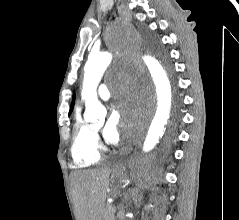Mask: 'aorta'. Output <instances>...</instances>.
<instances>
[{
	"instance_id": "aorta-1",
	"label": "aorta",
	"mask_w": 239,
	"mask_h": 220,
	"mask_svg": "<svg viewBox=\"0 0 239 220\" xmlns=\"http://www.w3.org/2000/svg\"><path fill=\"white\" fill-rule=\"evenodd\" d=\"M116 40H132L130 33H116ZM133 45H112L111 48ZM109 51L91 55L85 65L84 81L81 96L85 100V119L91 123H97L106 116V109L98 100L97 86L109 66L112 55ZM143 65L149 72L151 80L156 88L157 108L151 121L144 144L143 151L150 152L163 135L164 127L170 117L171 86L167 72L162 62L153 56L142 55ZM137 67V65H134Z\"/></svg>"
}]
</instances>
